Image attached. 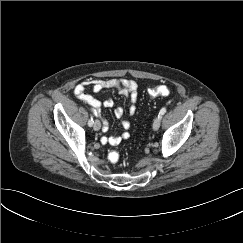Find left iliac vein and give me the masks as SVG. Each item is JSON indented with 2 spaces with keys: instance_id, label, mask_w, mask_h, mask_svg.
Returning a JSON list of instances; mask_svg holds the SVG:
<instances>
[{
  "instance_id": "obj_1",
  "label": "left iliac vein",
  "mask_w": 243,
  "mask_h": 243,
  "mask_svg": "<svg viewBox=\"0 0 243 243\" xmlns=\"http://www.w3.org/2000/svg\"><path fill=\"white\" fill-rule=\"evenodd\" d=\"M161 116L158 115V117L154 120L153 122V130L154 131H157L160 127V124H161Z\"/></svg>"
}]
</instances>
